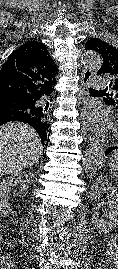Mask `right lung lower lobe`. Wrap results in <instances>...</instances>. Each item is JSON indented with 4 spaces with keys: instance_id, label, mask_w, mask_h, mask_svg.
<instances>
[{
    "instance_id": "1",
    "label": "right lung lower lobe",
    "mask_w": 118,
    "mask_h": 269,
    "mask_svg": "<svg viewBox=\"0 0 118 269\" xmlns=\"http://www.w3.org/2000/svg\"><path fill=\"white\" fill-rule=\"evenodd\" d=\"M37 108L38 104L32 100L16 96L0 97V125L10 121H22L30 124Z\"/></svg>"
}]
</instances>
